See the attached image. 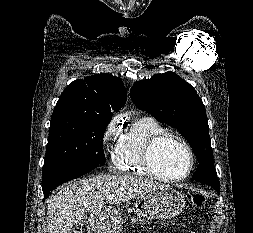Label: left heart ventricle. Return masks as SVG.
Returning a JSON list of instances; mask_svg holds the SVG:
<instances>
[{
  "mask_svg": "<svg viewBox=\"0 0 253 233\" xmlns=\"http://www.w3.org/2000/svg\"><path fill=\"white\" fill-rule=\"evenodd\" d=\"M153 161L157 171L168 177L184 175L190 164L186 149L172 141H167L157 148Z\"/></svg>",
  "mask_w": 253,
  "mask_h": 233,
  "instance_id": "obj_1",
  "label": "left heart ventricle"
}]
</instances>
